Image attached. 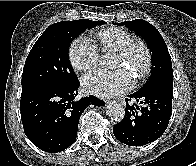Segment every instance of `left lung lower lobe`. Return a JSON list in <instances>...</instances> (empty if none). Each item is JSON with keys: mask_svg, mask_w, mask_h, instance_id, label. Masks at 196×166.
Returning a JSON list of instances; mask_svg holds the SVG:
<instances>
[{"mask_svg": "<svg viewBox=\"0 0 196 166\" xmlns=\"http://www.w3.org/2000/svg\"><path fill=\"white\" fill-rule=\"evenodd\" d=\"M172 96L173 84H154L129 95L143 106L126 103L123 120L113 127L115 137L129 146H142L159 138L170 120Z\"/></svg>", "mask_w": 196, "mask_h": 166, "instance_id": "obj_1", "label": "left lung lower lobe"}]
</instances>
